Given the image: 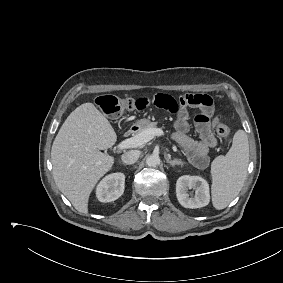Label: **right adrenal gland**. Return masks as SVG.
I'll return each instance as SVG.
<instances>
[{"label":"right adrenal gland","instance_id":"right-adrenal-gland-1","mask_svg":"<svg viewBox=\"0 0 283 283\" xmlns=\"http://www.w3.org/2000/svg\"><path fill=\"white\" fill-rule=\"evenodd\" d=\"M119 163H120L121 165L125 166V167L127 166L125 163H122V162H119Z\"/></svg>","mask_w":283,"mask_h":283}]
</instances>
